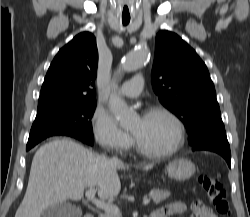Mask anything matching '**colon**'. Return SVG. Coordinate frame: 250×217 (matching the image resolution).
I'll use <instances>...</instances> for the list:
<instances>
[{
  "mask_svg": "<svg viewBox=\"0 0 250 217\" xmlns=\"http://www.w3.org/2000/svg\"><path fill=\"white\" fill-rule=\"evenodd\" d=\"M199 183L206 191L216 211L223 217H229L231 213L230 203L219 180L214 175H201Z\"/></svg>",
  "mask_w": 250,
  "mask_h": 217,
  "instance_id": "5ec220e1",
  "label": "colon"
}]
</instances>
